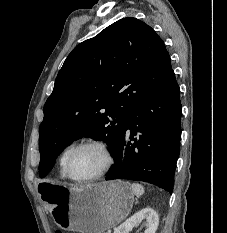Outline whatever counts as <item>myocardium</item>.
Instances as JSON below:
<instances>
[{"label": "myocardium", "instance_id": "myocardium-1", "mask_svg": "<svg viewBox=\"0 0 227 233\" xmlns=\"http://www.w3.org/2000/svg\"><path fill=\"white\" fill-rule=\"evenodd\" d=\"M87 146H94L99 148L104 156H105V164L103 166V168L95 175L87 177V178H75L72 176L71 172H70V159L71 156L78 151L79 149L83 148V147H87ZM114 164V154L110 148V146L102 140H98V139H89V140H85L82 141L76 145H74L70 151L68 152L66 158H65V164H64V169H65V174L67 176L68 179H70L71 181L77 182V183H86V182H91V181H95L98 180L100 178H102L103 176H105L109 170L111 169V167Z\"/></svg>", "mask_w": 227, "mask_h": 233}]
</instances>
